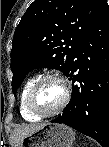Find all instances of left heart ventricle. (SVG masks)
Segmentation results:
<instances>
[{"mask_svg": "<svg viewBox=\"0 0 109 147\" xmlns=\"http://www.w3.org/2000/svg\"><path fill=\"white\" fill-rule=\"evenodd\" d=\"M63 96L64 88L61 83L56 80H48L37 90L33 105L36 109L47 112L56 108L61 103Z\"/></svg>", "mask_w": 109, "mask_h": 147, "instance_id": "left-heart-ventricle-1", "label": "left heart ventricle"}]
</instances>
